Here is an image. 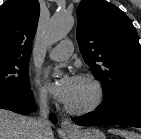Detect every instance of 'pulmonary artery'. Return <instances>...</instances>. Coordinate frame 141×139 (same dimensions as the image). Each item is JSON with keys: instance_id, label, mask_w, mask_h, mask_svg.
I'll list each match as a JSON object with an SVG mask.
<instances>
[{"instance_id": "pulmonary-artery-1", "label": "pulmonary artery", "mask_w": 141, "mask_h": 139, "mask_svg": "<svg viewBox=\"0 0 141 139\" xmlns=\"http://www.w3.org/2000/svg\"><path fill=\"white\" fill-rule=\"evenodd\" d=\"M73 53V44L70 40H63L49 53V57L56 61L67 59Z\"/></svg>"}]
</instances>
